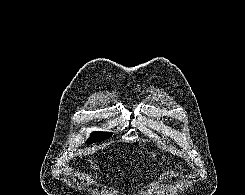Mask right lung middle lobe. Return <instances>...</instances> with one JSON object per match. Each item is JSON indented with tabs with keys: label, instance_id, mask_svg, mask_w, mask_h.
Segmentation results:
<instances>
[{
	"label": "right lung middle lobe",
	"instance_id": "1",
	"mask_svg": "<svg viewBox=\"0 0 245 195\" xmlns=\"http://www.w3.org/2000/svg\"><path fill=\"white\" fill-rule=\"evenodd\" d=\"M112 136V133L108 132H94L91 137L87 140V143L100 142L102 140L108 139Z\"/></svg>",
	"mask_w": 245,
	"mask_h": 195
}]
</instances>
